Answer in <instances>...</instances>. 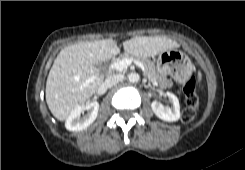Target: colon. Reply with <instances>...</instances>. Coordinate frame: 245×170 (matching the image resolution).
<instances>
[{"label": "colon", "instance_id": "5ec220e1", "mask_svg": "<svg viewBox=\"0 0 245 170\" xmlns=\"http://www.w3.org/2000/svg\"><path fill=\"white\" fill-rule=\"evenodd\" d=\"M191 70V64L188 59H183V64L179 69L182 75H186ZM176 88L179 92L185 94V109L183 111L182 120L185 123L190 122L197 112L199 99L195 91V82L192 78L187 77L178 81Z\"/></svg>", "mask_w": 245, "mask_h": 170}]
</instances>
